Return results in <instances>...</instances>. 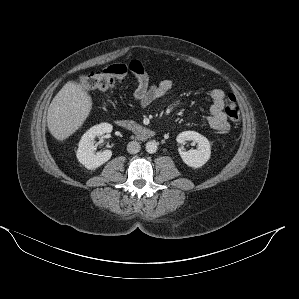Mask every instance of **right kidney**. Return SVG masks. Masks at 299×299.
<instances>
[{
  "label": "right kidney",
  "mask_w": 299,
  "mask_h": 299,
  "mask_svg": "<svg viewBox=\"0 0 299 299\" xmlns=\"http://www.w3.org/2000/svg\"><path fill=\"white\" fill-rule=\"evenodd\" d=\"M112 125L108 123H102L90 128L81 138L78 150L77 158L79 162L89 170H95L99 166L106 163L112 156L111 150H104L95 153L96 137L102 136L105 133L112 131Z\"/></svg>",
  "instance_id": "ca27d5eb"
}]
</instances>
